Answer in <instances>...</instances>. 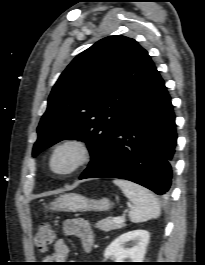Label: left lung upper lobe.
I'll use <instances>...</instances> for the list:
<instances>
[{"label": "left lung upper lobe", "mask_w": 205, "mask_h": 265, "mask_svg": "<svg viewBox=\"0 0 205 265\" xmlns=\"http://www.w3.org/2000/svg\"><path fill=\"white\" fill-rule=\"evenodd\" d=\"M154 68L147 51L125 36L106 37L80 53L51 91L33 157L61 140L78 139L87 143L92 162Z\"/></svg>", "instance_id": "5c2ea615"}]
</instances>
